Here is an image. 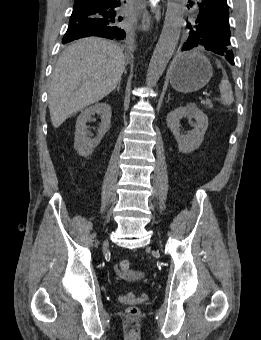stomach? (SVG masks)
Segmentation results:
<instances>
[{"label": "stomach", "mask_w": 261, "mask_h": 340, "mask_svg": "<svg viewBox=\"0 0 261 340\" xmlns=\"http://www.w3.org/2000/svg\"><path fill=\"white\" fill-rule=\"evenodd\" d=\"M171 86L179 92L190 93L203 88L213 75L209 60L195 52L178 56L170 68Z\"/></svg>", "instance_id": "0dacf381"}]
</instances>
